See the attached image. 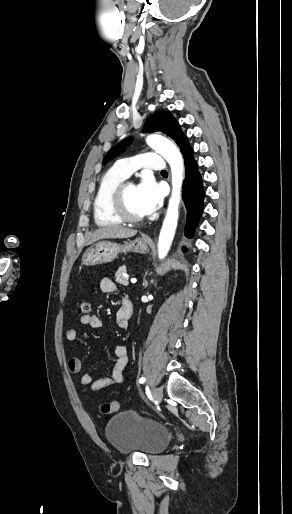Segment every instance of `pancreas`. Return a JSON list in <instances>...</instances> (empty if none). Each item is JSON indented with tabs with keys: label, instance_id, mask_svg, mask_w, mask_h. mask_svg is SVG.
<instances>
[{
	"label": "pancreas",
	"instance_id": "pancreas-1",
	"mask_svg": "<svg viewBox=\"0 0 292 514\" xmlns=\"http://www.w3.org/2000/svg\"><path fill=\"white\" fill-rule=\"evenodd\" d=\"M126 272L127 270L125 266H121V268H119V270H117L115 274V282H118V284H123V286H128V278H125V276H123V274H126Z\"/></svg>",
	"mask_w": 292,
	"mask_h": 514
}]
</instances>
